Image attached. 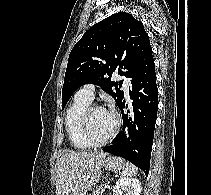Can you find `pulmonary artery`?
Instances as JSON below:
<instances>
[{"label":"pulmonary artery","mask_w":211,"mask_h":195,"mask_svg":"<svg viewBox=\"0 0 211 195\" xmlns=\"http://www.w3.org/2000/svg\"><path fill=\"white\" fill-rule=\"evenodd\" d=\"M129 85V80L125 79L123 88L126 95L128 94ZM78 94L92 101L94 98V86L92 84H86L79 89Z\"/></svg>","instance_id":"pulmonary-artery-1"}]
</instances>
